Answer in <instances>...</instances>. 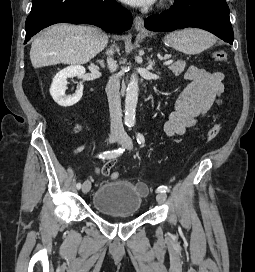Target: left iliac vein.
<instances>
[{
	"label": "left iliac vein",
	"mask_w": 255,
	"mask_h": 272,
	"mask_svg": "<svg viewBox=\"0 0 255 272\" xmlns=\"http://www.w3.org/2000/svg\"><path fill=\"white\" fill-rule=\"evenodd\" d=\"M120 143L127 149H132V146H133L132 139L127 134L122 136V140ZM166 199H167V195L165 192L157 193L156 200L159 204H163L166 201Z\"/></svg>",
	"instance_id": "4c4485c4"
}]
</instances>
